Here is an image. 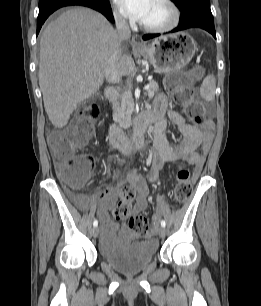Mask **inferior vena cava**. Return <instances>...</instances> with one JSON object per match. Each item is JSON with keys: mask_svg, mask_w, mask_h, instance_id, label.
<instances>
[{"mask_svg": "<svg viewBox=\"0 0 261 306\" xmlns=\"http://www.w3.org/2000/svg\"><path fill=\"white\" fill-rule=\"evenodd\" d=\"M116 29L120 41L128 40L131 37V31L127 21L122 17L116 18ZM120 51L116 48L103 66V72L106 80L109 83H116L120 81V76L117 70V61Z\"/></svg>", "mask_w": 261, "mask_h": 306, "instance_id": "inferior-vena-cava-1", "label": "inferior vena cava"}]
</instances>
